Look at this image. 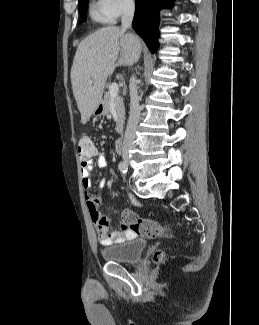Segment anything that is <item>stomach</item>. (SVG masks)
<instances>
[{"label": "stomach", "mask_w": 259, "mask_h": 325, "mask_svg": "<svg viewBox=\"0 0 259 325\" xmlns=\"http://www.w3.org/2000/svg\"><path fill=\"white\" fill-rule=\"evenodd\" d=\"M93 114L98 117L106 114V107L103 100H101L100 103L96 106Z\"/></svg>", "instance_id": "stomach-1"}]
</instances>
